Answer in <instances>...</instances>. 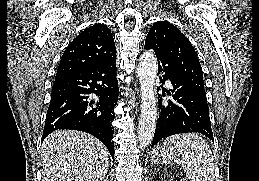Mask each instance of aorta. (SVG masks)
Segmentation results:
<instances>
[{"instance_id":"1","label":"aorta","mask_w":259,"mask_h":181,"mask_svg":"<svg viewBox=\"0 0 259 181\" xmlns=\"http://www.w3.org/2000/svg\"><path fill=\"white\" fill-rule=\"evenodd\" d=\"M138 76L141 88V114L138 126L140 148L148 146L154 136L157 120L155 80L157 59L152 52H144L139 58Z\"/></svg>"}]
</instances>
